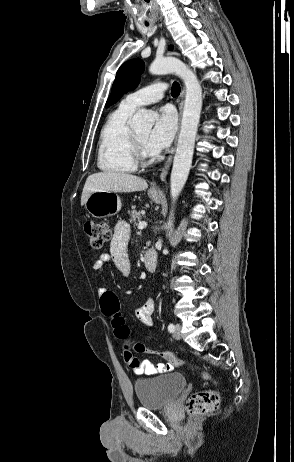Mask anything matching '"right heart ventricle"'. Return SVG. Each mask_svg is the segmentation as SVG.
I'll return each mask as SVG.
<instances>
[{
	"label": "right heart ventricle",
	"mask_w": 294,
	"mask_h": 462,
	"mask_svg": "<svg viewBox=\"0 0 294 462\" xmlns=\"http://www.w3.org/2000/svg\"><path fill=\"white\" fill-rule=\"evenodd\" d=\"M135 109L122 103L108 117L102 128L98 148V167L107 173H131L137 165L133 158L128 120Z\"/></svg>",
	"instance_id": "obj_1"
}]
</instances>
